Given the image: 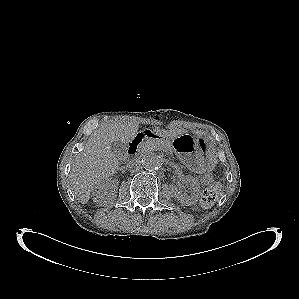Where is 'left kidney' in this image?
Segmentation results:
<instances>
[{
    "label": "left kidney",
    "instance_id": "obj_1",
    "mask_svg": "<svg viewBox=\"0 0 299 299\" xmlns=\"http://www.w3.org/2000/svg\"><path fill=\"white\" fill-rule=\"evenodd\" d=\"M184 181L186 184L190 186L192 189V193L190 195H187L186 193H183L180 189H178L175 186H171V190L173 193V196L182 204L189 206L193 205L198 201L199 195H200V185L199 182L191 175H187L184 178Z\"/></svg>",
    "mask_w": 299,
    "mask_h": 299
}]
</instances>
